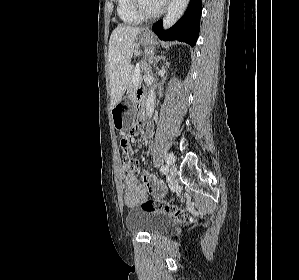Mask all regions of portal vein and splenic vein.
<instances>
[{
	"mask_svg": "<svg viewBox=\"0 0 299 280\" xmlns=\"http://www.w3.org/2000/svg\"><path fill=\"white\" fill-rule=\"evenodd\" d=\"M140 80V66H137L134 71L133 82L135 85L139 83Z\"/></svg>",
	"mask_w": 299,
	"mask_h": 280,
	"instance_id": "obj_1",
	"label": "portal vein and splenic vein"
}]
</instances>
